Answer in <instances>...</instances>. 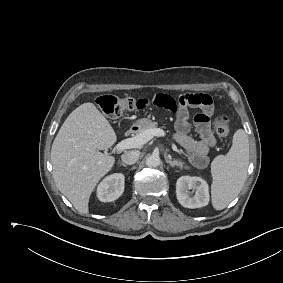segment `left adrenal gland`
<instances>
[{
    "instance_id": "1",
    "label": "left adrenal gland",
    "mask_w": 283,
    "mask_h": 283,
    "mask_svg": "<svg viewBox=\"0 0 283 283\" xmlns=\"http://www.w3.org/2000/svg\"><path fill=\"white\" fill-rule=\"evenodd\" d=\"M166 163H168L171 167H179L180 169H182L183 164L177 160H172L170 156H166Z\"/></svg>"
}]
</instances>
